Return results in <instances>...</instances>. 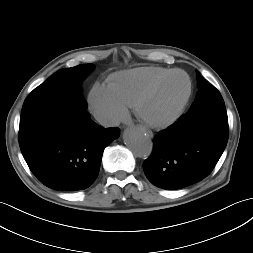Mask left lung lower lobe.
I'll use <instances>...</instances> for the list:
<instances>
[{
    "instance_id": "0a47b994",
    "label": "left lung lower lobe",
    "mask_w": 253,
    "mask_h": 253,
    "mask_svg": "<svg viewBox=\"0 0 253 253\" xmlns=\"http://www.w3.org/2000/svg\"><path fill=\"white\" fill-rule=\"evenodd\" d=\"M229 127L226 110L184 117L154 139L152 155L144 162L148 180L162 189H180L207 177L221 157Z\"/></svg>"
}]
</instances>
